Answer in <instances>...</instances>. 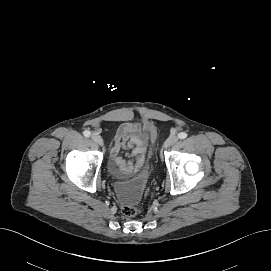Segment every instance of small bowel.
<instances>
[{"instance_id": "obj_1", "label": "small bowel", "mask_w": 271, "mask_h": 271, "mask_svg": "<svg viewBox=\"0 0 271 271\" xmlns=\"http://www.w3.org/2000/svg\"><path fill=\"white\" fill-rule=\"evenodd\" d=\"M154 131L151 126L131 122L122 123L110 147V170L116 177L137 172L151 155L150 138ZM128 151L127 159L121 150Z\"/></svg>"}]
</instances>
